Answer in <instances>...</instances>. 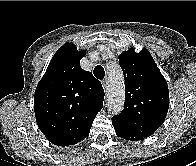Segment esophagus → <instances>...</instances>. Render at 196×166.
I'll list each match as a JSON object with an SVG mask.
<instances>
[{
	"label": "esophagus",
	"instance_id": "esophagus-1",
	"mask_svg": "<svg viewBox=\"0 0 196 166\" xmlns=\"http://www.w3.org/2000/svg\"><path fill=\"white\" fill-rule=\"evenodd\" d=\"M102 86L104 89H106V87H107V80L106 79L102 80Z\"/></svg>",
	"mask_w": 196,
	"mask_h": 166
}]
</instances>
